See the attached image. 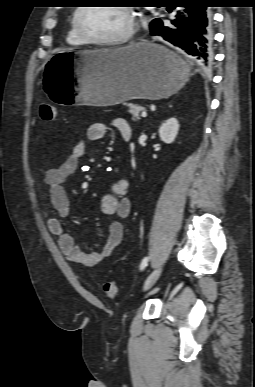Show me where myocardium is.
Masks as SVG:
<instances>
[{"label": "myocardium", "instance_id": "myocardium-1", "mask_svg": "<svg viewBox=\"0 0 255 387\" xmlns=\"http://www.w3.org/2000/svg\"><path fill=\"white\" fill-rule=\"evenodd\" d=\"M89 6H80L76 9L73 16V24L77 35L87 44L98 46H116L129 42L136 33L137 29V15L133 8L129 6H116L123 10L130 20L129 29L120 37L112 39H96L88 35L81 25V15Z\"/></svg>", "mask_w": 255, "mask_h": 387}]
</instances>
